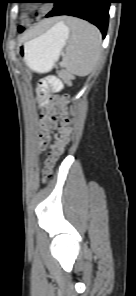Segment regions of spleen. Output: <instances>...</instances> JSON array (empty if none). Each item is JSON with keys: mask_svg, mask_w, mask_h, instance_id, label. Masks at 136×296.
I'll use <instances>...</instances> for the list:
<instances>
[{"mask_svg": "<svg viewBox=\"0 0 136 296\" xmlns=\"http://www.w3.org/2000/svg\"><path fill=\"white\" fill-rule=\"evenodd\" d=\"M68 25L71 36L62 64L74 75H88L100 57L101 33L95 26L76 18H70Z\"/></svg>", "mask_w": 136, "mask_h": 296, "instance_id": "spleen-1", "label": "spleen"}]
</instances>
